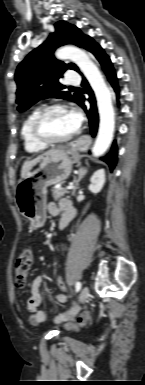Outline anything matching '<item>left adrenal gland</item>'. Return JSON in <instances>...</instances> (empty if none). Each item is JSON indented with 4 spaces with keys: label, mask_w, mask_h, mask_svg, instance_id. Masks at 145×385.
Here are the masks:
<instances>
[{
    "label": "left adrenal gland",
    "mask_w": 145,
    "mask_h": 385,
    "mask_svg": "<svg viewBox=\"0 0 145 385\" xmlns=\"http://www.w3.org/2000/svg\"><path fill=\"white\" fill-rule=\"evenodd\" d=\"M86 173H87V169L85 167H80L79 168L78 178L75 181V187H74V189L72 191V196L75 195L76 190L79 188V182L86 175Z\"/></svg>",
    "instance_id": "1"
}]
</instances>
